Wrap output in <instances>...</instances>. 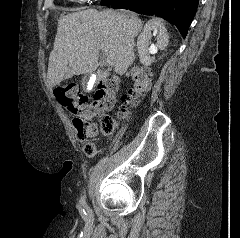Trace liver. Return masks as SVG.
Segmentation results:
<instances>
[{
	"label": "liver",
	"mask_w": 240,
	"mask_h": 238,
	"mask_svg": "<svg viewBox=\"0 0 240 238\" xmlns=\"http://www.w3.org/2000/svg\"><path fill=\"white\" fill-rule=\"evenodd\" d=\"M141 28V20L129 11L87 9L61 16L49 56L48 86L94 72L100 52L111 60L115 72L124 74L135 59L134 38ZM105 77L98 71L99 79Z\"/></svg>",
	"instance_id": "6515ba94"
}]
</instances>
